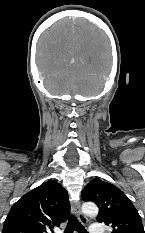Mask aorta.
Listing matches in <instances>:
<instances>
[{
	"instance_id": "1",
	"label": "aorta",
	"mask_w": 145,
	"mask_h": 233,
	"mask_svg": "<svg viewBox=\"0 0 145 233\" xmlns=\"http://www.w3.org/2000/svg\"><path fill=\"white\" fill-rule=\"evenodd\" d=\"M82 212L87 216L96 217L99 210L95 203L87 202L82 205Z\"/></svg>"
}]
</instances>
